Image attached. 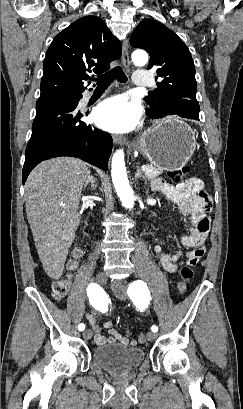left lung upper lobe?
I'll return each mask as SVG.
<instances>
[{"label":"left lung upper lobe","instance_id":"5c2ea615","mask_svg":"<svg viewBox=\"0 0 243 409\" xmlns=\"http://www.w3.org/2000/svg\"><path fill=\"white\" fill-rule=\"evenodd\" d=\"M130 43L150 54L148 69L156 68V79L162 78L157 88L144 98L150 106L148 113L163 117L168 110L179 106L199 112L195 66L184 42L161 22L144 19L132 33Z\"/></svg>","mask_w":243,"mask_h":409}]
</instances>
